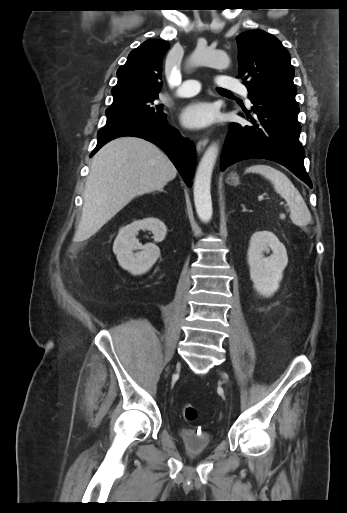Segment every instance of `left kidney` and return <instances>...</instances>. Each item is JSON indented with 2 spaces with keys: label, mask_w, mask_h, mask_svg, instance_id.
<instances>
[{
  "label": "left kidney",
  "mask_w": 347,
  "mask_h": 513,
  "mask_svg": "<svg viewBox=\"0 0 347 513\" xmlns=\"http://www.w3.org/2000/svg\"><path fill=\"white\" fill-rule=\"evenodd\" d=\"M272 254L264 256V252ZM247 262L250 267V278L257 292L270 297L279 288L283 270L288 264L287 251L279 239L269 231L255 232L249 242Z\"/></svg>",
  "instance_id": "5707ae66"
}]
</instances>
